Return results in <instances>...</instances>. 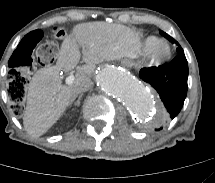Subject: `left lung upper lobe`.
<instances>
[{
    "mask_svg": "<svg viewBox=\"0 0 215 183\" xmlns=\"http://www.w3.org/2000/svg\"><path fill=\"white\" fill-rule=\"evenodd\" d=\"M160 34H162L163 36H165V37H166L167 39H169L172 43H176V44L179 46V48L176 49L177 52H178V55L184 54L183 49L180 47V45L178 44L177 41H175L171 36H169L168 34H166V33L163 32V31H160Z\"/></svg>",
    "mask_w": 215,
    "mask_h": 183,
    "instance_id": "obj_1",
    "label": "left lung upper lobe"
}]
</instances>
